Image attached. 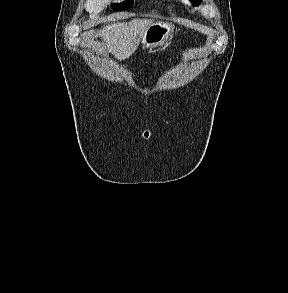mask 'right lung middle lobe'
I'll list each match as a JSON object with an SVG mask.
<instances>
[{
    "label": "right lung middle lobe",
    "instance_id": "obj_1",
    "mask_svg": "<svg viewBox=\"0 0 288 293\" xmlns=\"http://www.w3.org/2000/svg\"><path fill=\"white\" fill-rule=\"evenodd\" d=\"M133 4V0H126L120 4H112V8L114 10H125L131 7V5Z\"/></svg>",
    "mask_w": 288,
    "mask_h": 293
}]
</instances>
